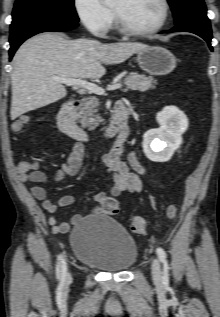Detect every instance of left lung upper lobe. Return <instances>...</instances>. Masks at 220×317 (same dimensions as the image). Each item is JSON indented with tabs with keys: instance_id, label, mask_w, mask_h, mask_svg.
I'll return each instance as SVG.
<instances>
[{
	"instance_id": "left-lung-upper-lobe-1",
	"label": "left lung upper lobe",
	"mask_w": 220,
	"mask_h": 317,
	"mask_svg": "<svg viewBox=\"0 0 220 317\" xmlns=\"http://www.w3.org/2000/svg\"><path fill=\"white\" fill-rule=\"evenodd\" d=\"M173 15L175 24L183 22L191 15H206V6L203 0H168Z\"/></svg>"
}]
</instances>
